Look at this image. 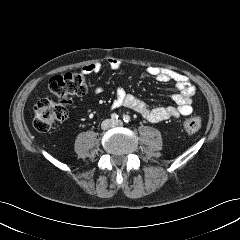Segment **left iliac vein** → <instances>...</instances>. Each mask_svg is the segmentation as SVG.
<instances>
[{
	"label": "left iliac vein",
	"instance_id": "4c4485c4",
	"mask_svg": "<svg viewBox=\"0 0 240 240\" xmlns=\"http://www.w3.org/2000/svg\"><path fill=\"white\" fill-rule=\"evenodd\" d=\"M123 122L121 120H117L113 123L114 126H121Z\"/></svg>",
	"mask_w": 240,
	"mask_h": 240
}]
</instances>
